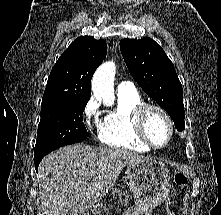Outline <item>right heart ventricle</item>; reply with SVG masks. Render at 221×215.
<instances>
[{
  "instance_id": "1",
  "label": "right heart ventricle",
  "mask_w": 221,
  "mask_h": 215,
  "mask_svg": "<svg viewBox=\"0 0 221 215\" xmlns=\"http://www.w3.org/2000/svg\"><path fill=\"white\" fill-rule=\"evenodd\" d=\"M144 103L137 91L118 93L116 108L110 111L100 124L99 139L110 147L145 153L151 148L137 135L134 126V111Z\"/></svg>"
}]
</instances>
